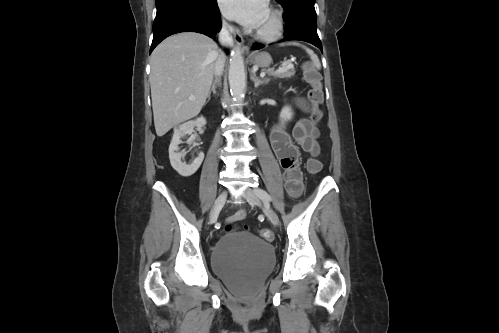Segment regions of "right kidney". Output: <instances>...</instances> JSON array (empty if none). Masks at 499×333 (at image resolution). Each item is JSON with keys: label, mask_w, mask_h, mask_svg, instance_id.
Returning <instances> with one entry per match:
<instances>
[{"label": "right kidney", "mask_w": 499, "mask_h": 333, "mask_svg": "<svg viewBox=\"0 0 499 333\" xmlns=\"http://www.w3.org/2000/svg\"><path fill=\"white\" fill-rule=\"evenodd\" d=\"M206 119L199 117L196 120L188 121L181 124L174 129V135L169 146V159L171 166L181 176L188 177L193 175L200 167L204 159V153L200 152L198 157L195 158L190 164L181 161L182 153H179L178 145L181 143V137L187 134H192L194 127L202 128L206 125Z\"/></svg>", "instance_id": "1"}]
</instances>
